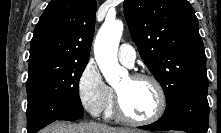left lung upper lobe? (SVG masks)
I'll return each instance as SVG.
<instances>
[{
    "instance_id": "1",
    "label": "left lung upper lobe",
    "mask_w": 221,
    "mask_h": 133,
    "mask_svg": "<svg viewBox=\"0 0 221 133\" xmlns=\"http://www.w3.org/2000/svg\"><path fill=\"white\" fill-rule=\"evenodd\" d=\"M124 15L142 60L163 88L166 109L190 91L207 90L203 41L187 0H125Z\"/></svg>"
}]
</instances>
